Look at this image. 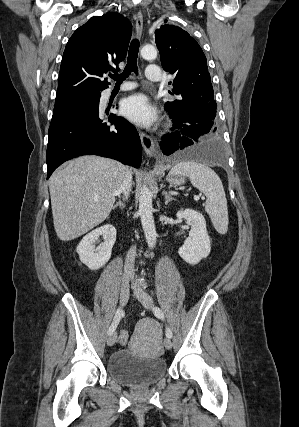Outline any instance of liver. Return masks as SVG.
<instances>
[{
	"label": "liver",
	"mask_w": 299,
	"mask_h": 427,
	"mask_svg": "<svg viewBox=\"0 0 299 427\" xmlns=\"http://www.w3.org/2000/svg\"><path fill=\"white\" fill-rule=\"evenodd\" d=\"M128 169L99 156H81L49 179L53 223L58 238L73 240L109 215Z\"/></svg>",
	"instance_id": "liver-1"
}]
</instances>
